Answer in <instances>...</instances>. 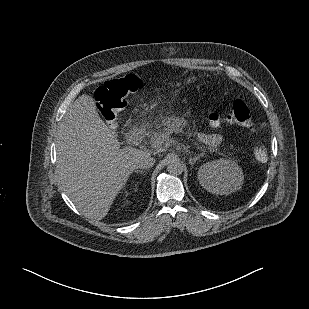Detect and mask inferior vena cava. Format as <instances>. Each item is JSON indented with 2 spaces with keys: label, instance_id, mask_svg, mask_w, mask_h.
Listing matches in <instances>:
<instances>
[{
  "label": "inferior vena cava",
  "instance_id": "1",
  "mask_svg": "<svg viewBox=\"0 0 309 309\" xmlns=\"http://www.w3.org/2000/svg\"><path fill=\"white\" fill-rule=\"evenodd\" d=\"M154 163H155V158L146 156L140 160L138 166L141 169H149L154 165Z\"/></svg>",
  "mask_w": 309,
  "mask_h": 309
}]
</instances>
